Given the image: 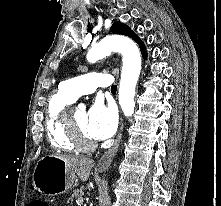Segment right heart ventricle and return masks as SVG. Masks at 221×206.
<instances>
[{
    "label": "right heart ventricle",
    "instance_id": "1",
    "mask_svg": "<svg viewBox=\"0 0 221 206\" xmlns=\"http://www.w3.org/2000/svg\"><path fill=\"white\" fill-rule=\"evenodd\" d=\"M74 101L62 86L49 99L45 125L48 141L54 149L66 152L77 150L66 124L67 108Z\"/></svg>",
    "mask_w": 221,
    "mask_h": 206
}]
</instances>
